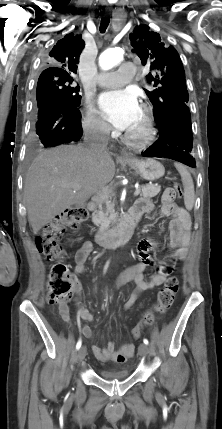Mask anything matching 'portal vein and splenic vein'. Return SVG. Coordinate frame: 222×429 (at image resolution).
Masks as SVG:
<instances>
[{"instance_id": "1", "label": "portal vein and splenic vein", "mask_w": 222, "mask_h": 429, "mask_svg": "<svg viewBox=\"0 0 222 429\" xmlns=\"http://www.w3.org/2000/svg\"><path fill=\"white\" fill-rule=\"evenodd\" d=\"M77 187H79V185L75 186V188H77ZM139 194H140V190L139 189L135 190L134 196L137 197ZM97 195L103 199L108 197L103 191L98 192Z\"/></svg>"}]
</instances>
